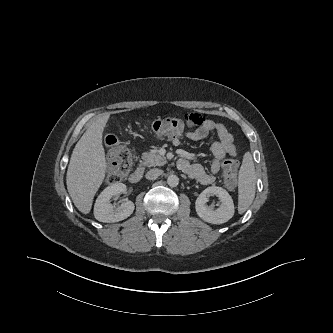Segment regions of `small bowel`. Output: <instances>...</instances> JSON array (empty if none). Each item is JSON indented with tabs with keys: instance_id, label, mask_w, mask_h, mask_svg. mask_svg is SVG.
Segmentation results:
<instances>
[{
	"instance_id": "small-bowel-1",
	"label": "small bowel",
	"mask_w": 333,
	"mask_h": 333,
	"mask_svg": "<svg viewBox=\"0 0 333 333\" xmlns=\"http://www.w3.org/2000/svg\"><path fill=\"white\" fill-rule=\"evenodd\" d=\"M212 132L218 135L219 141L214 142L211 146L213 159L208 171L200 164L190 163L186 159L179 160L180 168L203 185H210L215 181L216 175L222 169L226 155L231 157H236L237 155L232 134L223 124L212 119L203 120L201 118L199 126L194 130L186 131L185 136L191 140L198 141L205 139ZM172 143L174 146H179L181 141L179 138H173Z\"/></svg>"
}]
</instances>
